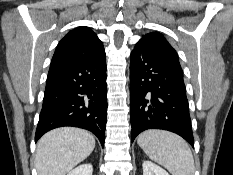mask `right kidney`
<instances>
[{
	"mask_svg": "<svg viewBox=\"0 0 233 175\" xmlns=\"http://www.w3.org/2000/svg\"><path fill=\"white\" fill-rule=\"evenodd\" d=\"M93 166L90 163L82 164L72 171H70L67 175H92Z\"/></svg>",
	"mask_w": 233,
	"mask_h": 175,
	"instance_id": "1",
	"label": "right kidney"
}]
</instances>
